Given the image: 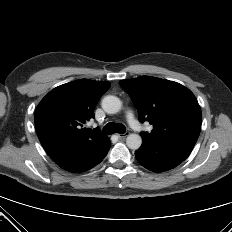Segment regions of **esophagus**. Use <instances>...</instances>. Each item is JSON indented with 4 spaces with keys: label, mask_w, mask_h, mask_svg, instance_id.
Masks as SVG:
<instances>
[{
    "label": "esophagus",
    "mask_w": 232,
    "mask_h": 232,
    "mask_svg": "<svg viewBox=\"0 0 232 232\" xmlns=\"http://www.w3.org/2000/svg\"><path fill=\"white\" fill-rule=\"evenodd\" d=\"M129 134H130L129 132H125V133H123V134H117V136H118L119 138H125V137H127Z\"/></svg>",
    "instance_id": "1"
}]
</instances>
